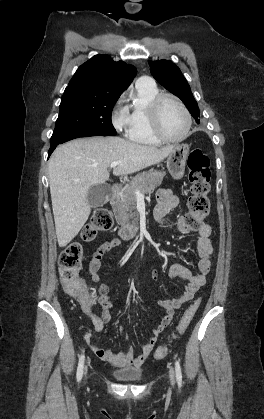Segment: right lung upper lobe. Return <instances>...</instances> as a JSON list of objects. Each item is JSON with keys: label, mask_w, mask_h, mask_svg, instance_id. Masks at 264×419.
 <instances>
[{"label": "right lung upper lobe", "mask_w": 264, "mask_h": 419, "mask_svg": "<svg viewBox=\"0 0 264 419\" xmlns=\"http://www.w3.org/2000/svg\"><path fill=\"white\" fill-rule=\"evenodd\" d=\"M136 68L108 55H96L82 64L67 88L83 87L92 91L122 94L136 76Z\"/></svg>", "instance_id": "1"}]
</instances>
